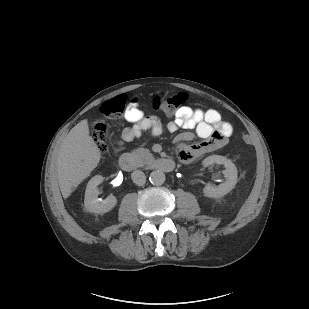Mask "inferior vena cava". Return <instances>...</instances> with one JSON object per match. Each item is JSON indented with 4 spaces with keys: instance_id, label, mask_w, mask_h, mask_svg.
Here are the masks:
<instances>
[{
    "instance_id": "inferior-vena-cava-1",
    "label": "inferior vena cava",
    "mask_w": 309,
    "mask_h": 309,
    "mask_svg": "<svg viewBox=\"0 0 309 309\" xmlns=\"http://www.w3.org/2000/svg\"><path fill=\"white\" fill-rule=\"evenodd\" d=\"M131 178H132L133 182L138 186H142L146 182V176H145L144 172H142L140 170L133 171L131 173Z\"/></svg>"
}]
</instances>
